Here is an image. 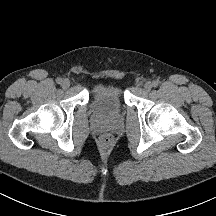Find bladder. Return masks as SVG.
Returning a JSON list of instances; mask_svg holds the SVG:
<instances>
[{
    "label": "bladder",
    "mask_w": 216,
    "mask_h": 216,
    "mask_svg": "<svg viewBox=\"0 0 216 216\" xmlns=\"http://www.w3.org/2000/svg\"><path fill=\"white\" fill-rule=\"evenodd\" d=\"M89 107L103 119H117L126 108L122 89L116 84L97 85L90 93Z\"/></svg>",
    "instance_id": "obj_1"
}]
</instances>
